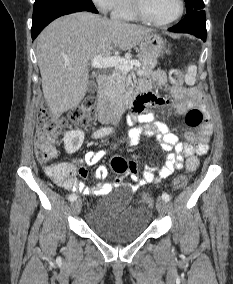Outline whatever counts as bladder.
I'll list each match as a JSON object with an SVG mask.
<instances>
[{"instance_id": "obj_1", "label": "bladder", "mask_w": 233, "mask_h": 284, "mask_svg": "<svg viewBox=\"0 0 233 284\" xmlns=\"http://www.w3.org/2000/svg\"><path fill=\"white\" fill-rule=\"evenodd\" d=\"M152 212L144 202L130 195L118 200H100L86 214L87 227L98 237L112 243H126L140 237L149 228Z\"/></svg>"}]
</instances>
